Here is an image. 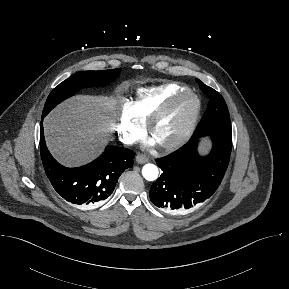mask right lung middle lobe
<instances>
[{
	"instance_id": "dd1d6c3e",
	"label": "right lung middle lobe",
	"mask_w": 289,
	"mask_h": 289,
	"mask_svg": "<svg viewBox=\"0 0 289 289\" xmlns=\"http://www.w3.org/2000/svg\"><path fill=\"white\" fill-rule=\"evenodd\" d=\"M120 71V69L85 71L72 75L52 90L46 100L42 117H45L61 101L73 96L82 88L109 84L117 78Z\"/></svg>"
}]
</instances>
